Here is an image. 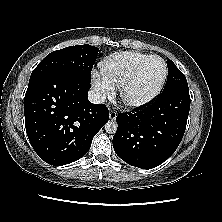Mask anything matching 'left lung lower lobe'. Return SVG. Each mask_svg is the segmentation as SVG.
Segmentation results:
<instances>
[{"label":"left lung lower lobe","instance_id":"left-lung-lower-lobe-1","mask_svg":"<svg viewBox=\"0 0 222 222\" xmlns=\"http://www.w3.org/2000/svg\"><path fill=\"white\" fill-rule=\"evenodd\" d=\"M190 109L189 89H171L147 108L120 113L113 137L116 154L139 168H153L166 161L180 144Z\"/></svg>","mask_w":222,"mask_h":222}]
</instances>
